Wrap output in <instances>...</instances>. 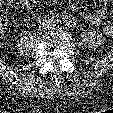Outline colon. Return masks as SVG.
<instances>
[{"mask_svg": "<svg viewBox=\"0 0 113 113\" xmlns=\"http://www.w3.org/2000/svg\"><path fill=\"white\" fill-rule=\"evenodd\" d=\"M3 1H7L5 4ZM10 0H0V28L5 25L6 23V15L4 11V7ZM25 1V0H24ZM28 1V0H27ZM29 1H37V0H29Z\"/></svg>", "mask_w": 113, "mask_h": 113, "instance_id": "5ec220e1", "label": "colon"}]
</instances>
